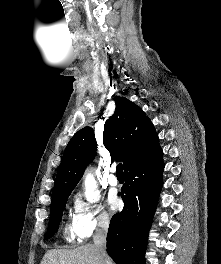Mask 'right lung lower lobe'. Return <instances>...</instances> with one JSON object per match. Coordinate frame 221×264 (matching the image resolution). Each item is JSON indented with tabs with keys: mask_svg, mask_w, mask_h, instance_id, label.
I'll return each instance as SVG.
<instances>
[{
	"mask_svg": "<svg viewBox=\"0 0 221 264\" xmlns=\"http://www.w3.org/2000/svg\"><path fill=\"white\" fill-rule=\"evenodd\" d=\"M163 152L125 171L121 189L124 209L115 214L107 235V253L117 264H145L152 218L163 185Z\"/></svg>",
	"mask_w": 221,
	"mask_h": 264,
	"instance_id": "right-lung-lower-lobe-1",
	"label": "right lung lower lobe"
}]
</instances>
